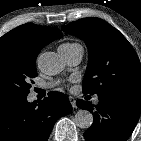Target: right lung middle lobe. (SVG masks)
<instances>
[{"label": "right lung middle lobe", "mask_w": 141, "mask_h": 141, "mask_svg": "<svg viewBox=\"0 0 141 141\" xmlns=\"http://www.w3.org/2000/svg\"><path fill=\"white\" fill-rule=\"evenodd\" d=\"M36 57L18 49L0 52V96H26L37 76Z\"/></svg>", "instance_id": "dd1d6c3e"}]
</instances>
